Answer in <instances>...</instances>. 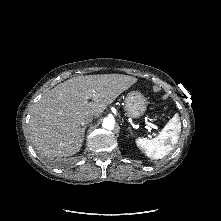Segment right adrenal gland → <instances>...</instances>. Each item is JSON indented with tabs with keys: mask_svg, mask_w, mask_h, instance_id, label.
Wrapping results in <instances>:
<instances>
[{
	"mask_svg": "<svg viewBox=\"0 0 221 221\" xmlns=\"http://www.w3.org/2000/svg\"><path fill=\"white\" fill-rule=\"evenodd\" d=\"M86 128H87V126H83V128H82V141H84Z\"/></svg>",
	"mask_w": 221,
	"mask_h": 221,
	"instance_id": "1",
	"label": "right adrenal gland"
}]
</instances>
